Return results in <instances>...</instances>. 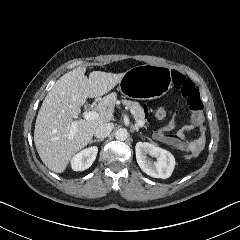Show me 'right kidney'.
Wrapping results in <instances>:
<instances>
[{"instance_id": "right-kidney-1", "label": "right kidney", "mask_w": 240, "mask_h": 240, "mask_svg": "<svg viewBox=\"0 0 240 240\" xmlns=\"http://www.w3.org/2000/svg\"><path fill=\"white\" fill-rule=\"evenodd\" d=\"M98 152V146L93 145L86 147L70 158V167L73 171H84L88 169L94 162Z\"/></svg>"}]
</instances>
